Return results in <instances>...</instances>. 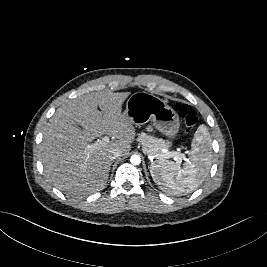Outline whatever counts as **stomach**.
<instances>
[{
	"mask_svg": "<svg viewBox=\"0 0 267 267\" xmlns=\"http://www.w3.org/2000/svg\"><path fill=\"white\" fill-rule=\"evenodd\" d=\"M124 114L138 126L152 121L159 132L171 139L179 131L180 122L176 112L164 100L147 92L132 94L127 100Z\"/></svg>",
	"mask_w": 267,
	"mask_h": 267,
	"instance_id": "1",
	"label": "stomach"
}]
</instances>
